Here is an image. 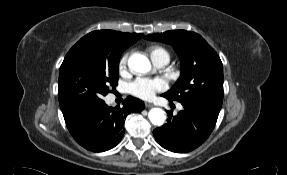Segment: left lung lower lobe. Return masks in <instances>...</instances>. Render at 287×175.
Wrapping results in <instances>:
<instances>
[{
    "label": "left lung lower lobe",
    "mask_w": 287,
    "mask_h": 175,
    "mask_svg": "<svg viewBox=\"0 0 287 175\" xmlns=\"http://www.w3.org/2000/svg\"><path fill=\"white\" fill-rule=\"evenodd\" d=\"M162 96L169 99L164 94ZM181 104L183 110L176 116L168 111L167 123L153 130L156 141L175 153H187L200 146L209 137L217 121L216 117L200 107Z\"/></svg>",
    "instance_id": "1"
}]
</instances>
